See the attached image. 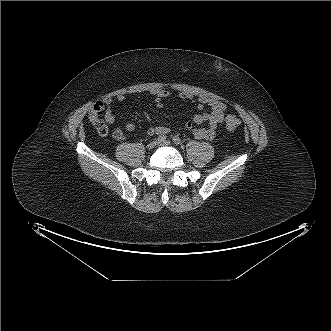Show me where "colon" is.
<instances>
[{"label": "colon", "instance_id": "colon-1", "mask_svg": "<svg viewBox=\"0 0 331 331\" xmlns=\"http://www.w3.org/2000/svg\"><path fill=\"white\" fill-rule=\"evenodd\" d=\"M95 125H96V128H97L99 134H101L103 136L107 134V127L103 123H101L99 121ZM225 125L229 130H235L240 125V121L235 115L227 114L225 116Z\"/></svg>", "mask_w": 331, "mask_h": 331}]
</instances>
